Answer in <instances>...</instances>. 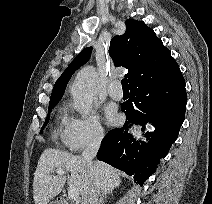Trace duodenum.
Returning a JSON list of instances; mask_svg holds the SVG:
<instances>
[{"label":"duodenum","instance_id":"duodenum-1","mask_svg":"<svg viewBox=\"0 0 212 204\" xmlns=\"http://www.w3.org/2000/svg\"><path fill=\"white\" fill-rule=\"evenodd\" d=\"M58 204H72V203H70L67 200L61 198V199L58 200Z\"/></svg>","mask_w":212,"mask_h":204}]
</instances>
